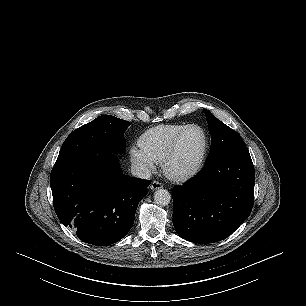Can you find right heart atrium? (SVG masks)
<instances>
[{"instance_id":"1","label":"right heart atrium","mask_w":306,"mask_h":306,"mask_svg":"<svg viewBox=\"0 0 306 306\" xmlns=\"http://www.w3.org/2000/svg\"><path fill=\"white\" fill-rule=\"evenodd\" d=\"M131 162L143 173L155 170L157 161L141 146H133L129 151Z\"/></svg>"}]
</instances>
